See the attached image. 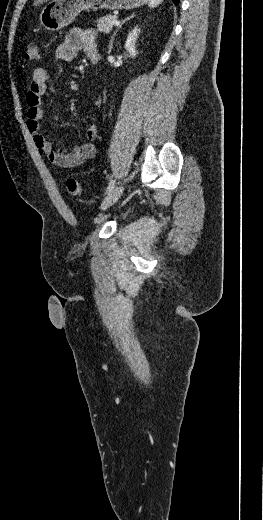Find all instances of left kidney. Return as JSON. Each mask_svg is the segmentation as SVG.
<instances>
[{"instance_id":"1","label":"left kidney","mask_w":263,"mask_h":520,"mask_svg":"<svg viewBox=\"0 0 263 520\" xmlns=\"http://www.w3.org/2000/svg\"><path fill=\"white\" fill-rule=\"evenodd\" d=\"M140 33V29H138L137 27L134 28L128 35L127 37V40H126V44H125V49L128 51V53L130 54V56L133 58L135 57L138 53L136 51V41H137V38H138V35Z\"/></svg>"}]
</instances>
